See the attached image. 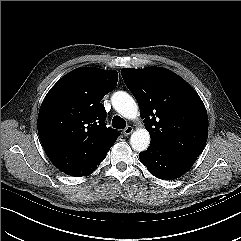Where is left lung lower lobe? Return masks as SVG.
I'll return each instance as SVG.
<instances>
[{"instance_id": "left-lung-lower-lobe-1", "label": "left lung lower lobe", "mask_w": 241, "mask_h": 241, "mask_svg": "<svg viewBox=\"0 0 241 241\" xmlns=\"http://www.w3.org/2000/svg\"><path fill=\"white\" fill-rule=\"evenodd\" d=\"M139 158L155 177L165 180L180 177L197 159V157L175 154L152 144L147 151L140 152Z\"/></svg>"}]
</instances>
